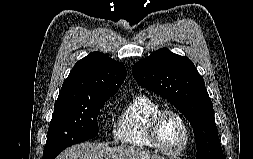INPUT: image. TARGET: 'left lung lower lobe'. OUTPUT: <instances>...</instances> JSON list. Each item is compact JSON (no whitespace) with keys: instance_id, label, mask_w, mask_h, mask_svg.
Instances as JSON below:
<instances>
[{"instance_id":"0a47b994","label":"left lung lower lobe","mask_w":253,"mask_h":159,"mask_svg":"<svg viewBox=\"0 0 253 159\" xmlns=\"http://www.w3.org/2000/svg\"><path fill=\"white\" fill-rule=\"evenodd\" d=\"M218 159H226L225 155L222 153Z\"/></svg>"}]
</instances>
